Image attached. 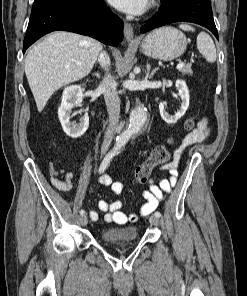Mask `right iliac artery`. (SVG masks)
<instances>
[{
  "label": "right iliac artery",
  "mask_w": 247,
  "mask_h": 296,
  "mask_svg": "<svg viewBox=\"0 0 247 296\" xmlns=\"http://www.w3.org/2000/svg\"><path fill=\"white\" fill-rule=\"evenodd\" d=\"M115 153L114 152H109L105 158L103 159L100 168H99V173H103L106 168L108 167L110 161L112 160V158L114 157ZM85 211L82 209L80 210V215H84Z\"/></svg>",
  "instance_id": "right-iliac-artery-1"
}]
</instances>
